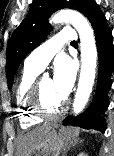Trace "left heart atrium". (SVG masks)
Listing matches in <instances>:
<instances>
[{
	"mask_svg": "<svg viewBox=\"0 0 114 156\" xmlns=\"http://www.w3.org/2000/svg\"><path fill=\"white\" fill-rule=\"evenodd\" d=\"M76 78V65L74 61L62 56L58 58L54 65L53 85L56 93L66 99L72 91Z\"/></svg>",
	"mask_w": 114,
	"mask_h": 156,
	"instance_id": "left-heart-atrium-1",
	"label": "left heart atrium"
}]
</instances>
